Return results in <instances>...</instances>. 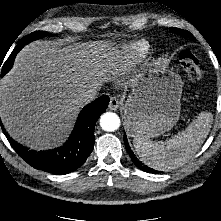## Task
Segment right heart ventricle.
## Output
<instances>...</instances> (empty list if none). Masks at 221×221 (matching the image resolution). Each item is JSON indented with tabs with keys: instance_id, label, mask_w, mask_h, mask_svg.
Masks as SVG:
<instances>
[{
	"instance_id": "e07e8e85",
	"label": "right heart ventricle",
	"mask_w": 221,
	"mask_h": 221,
	"mask_svg": "<svg viewBox=\"0 0 221 221\" xmlns=\"http://www.w3.org/2000/svg\"><path fill=\"white\" fill-rule=\"evenodd\" d=\"M149 50L144 41H134L123 44L112 51L105 62L106 71L117 78L143 60Z\"/></svg>"
}]
</instances>
